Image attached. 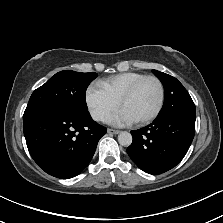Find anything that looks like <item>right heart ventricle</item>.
<instances>
[{
  "label": "right heart ventricle",
  "mask_w": 223,
  "mask_h": 223,
  "mask_svg": "<svg viewBox=\"0 0 223 223\" xmlns=\"http://www.w3.org/2000/svg\"><path fill=\"white\" fill-rule=\"evenodd\" d=\"M146 75L139 72H124L101 81L109 93L119 99L131 86Z\"/></svg>",
  "instance_id": "right-heart-ventricle-1"
}]
</instances>
